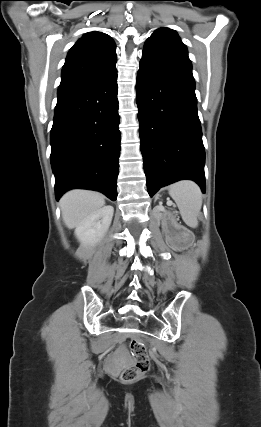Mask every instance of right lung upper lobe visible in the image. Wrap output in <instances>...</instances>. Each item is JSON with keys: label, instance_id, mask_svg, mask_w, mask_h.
<instances>
[{"label": "right lung upper lobe", "instance_id": "cb5924a9", "mask_svg": "<svg viewBox=\"0 0 261 427\" xmlns=\"http://www.w3.org/2000/svg\"><path fill=\"white\" fill-rule=\"evenodd\" d=\"M114 41L102 32H89L70 49L58 93L99 79L116 70Z\"/></svg>", "mask_w": 261, "mask_h": 427}]
</instances>
